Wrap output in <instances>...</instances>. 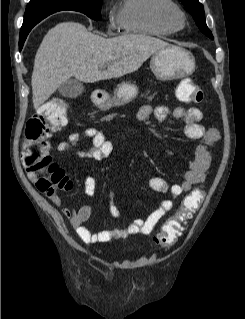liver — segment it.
I'll return each mask as SVG.
<instances>
[{"instance_id": "obj_1", "label": "liver", "mask_w": 245, "mask_h": 319, "mask_svg": "<svg viewBox=\"0 0 245 319\" xmlns=\"http://www.w3.org/2000/svg\"><path fill=\"white\" fill-rule=\"evenodd\" d=\"M169 44L145 34L105 39L78 22H63L44 36L32 73L33 106L38 109L71 77L84 83L118 78L137 71L156 51ZM107 69L100 71V65Z\"/></svg>"}]
</instances>
